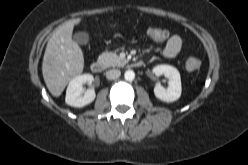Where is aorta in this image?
Listing matches in <instances>:
<instances>
[{"label":"aorta","mask_w":248,"mask_h":165,"mask_svg":"<svg viewBox=\"0 0 248 165\" xmlns=\"http://www.w3.org/2000/svg\"><path fill=\"white\" fill-rule=\"evenodd\" d=\"M125 80L133 81L135 78V73L132 70H127L124 74Z\"/></svg>","instance_id":"obj_1"}]
</instances>
